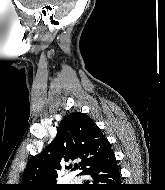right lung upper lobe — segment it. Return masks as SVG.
Listing matches in <instances>:
<instances>
[{"label": "right lung upper lobe", "mask_w": 165, "mask_h": 190, "mask_svg": "<svg viewBox=\"0 0 165 190\" xmlns=\"http://www.w3.org/2000/svg\"><path fill=\"white\" fill-rule=\"evenodd\" d=\"M112 154L109 141L94 121L84 113H72L61 121L56 138L38 155L33 156L24 171L20 190H55L59 162L80 159L82 175ZM72 166H66L70 169Z\"/></svg>", "instance_id": "right-lung-upper-lobe-1"}]
</instances>
